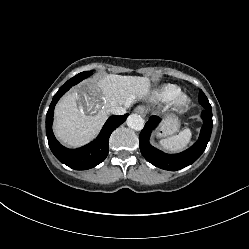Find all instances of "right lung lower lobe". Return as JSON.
<instances>
[{"mask_svg": "<svg viewBox=\"0 0 249 249\" xmlns=\"http://www.w3.org/2000/svg\"><path fill=\"white\" fill-rule=\"evenodd\" d=\"M83 79L84 78L76 75L68 80L54 95L46 115V134L51 151L60 162L75 170L90 169L105 160L109 151V137L111 133L120 126L128 116V114L111 116L104 124L99 136L86 146L78 149H67L62 146L56 140L52 131L54 107L65 92Z\"/></svg>", "mask_w": 249, "mask_h": 249, "instance_id": "right-lung-lower-lobe-1", "label": "right lung lower lobe"}]
</instances>
